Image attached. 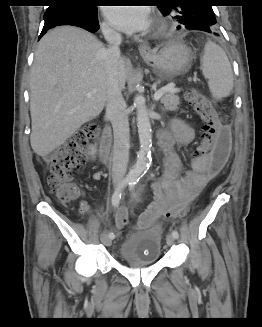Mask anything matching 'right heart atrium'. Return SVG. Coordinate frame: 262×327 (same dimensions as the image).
<instances>
[{"mask_svg": "<svg viewBox=\"0 0 262 327\" xmlns=\"http://www.w3.org/2000/svg\"><path fill=\"white\" fill-rule=\"evenodd\" d=\"M101 28L107 36H111V37L117 36L116 30L108 22L104 21L101 24Z\"/></svg>", "mask_w": 262, "mask_h": 327, "instance_id": "d8ad5b80", "label": "right heart atrium"}]
</instances>
